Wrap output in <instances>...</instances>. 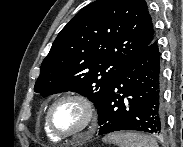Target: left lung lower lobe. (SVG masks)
Masks as SVG:
<instances>
[{
    "label": "left lung lower lobe",
    "instance_id": "obj_1",
    "mask_svg": "<svg viewBox=\"0 0 183 147\" xmlns=\"http://www.w3.org/2000/svg\"><path fill=\"white\" fill-rule=\"evenodd\" d=\"M98 114L99 134L120 130L155 135L164 132L160 56L155 40L123 67Z\"/></svg>",
    "mask_w": 183,
    "mask_h": 147
}]
</instances>
